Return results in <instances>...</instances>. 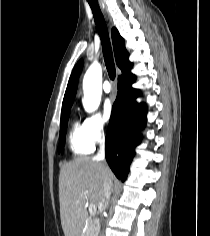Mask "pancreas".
Returning a JSON list of instances; mask_svg holds the SVG:
<instances>
[{
    "label": "pancreas",
    "instance_id": "obj_1",
    "mask_svg": "<svg viewBox=\"0 0 210 236\" xmlns=\"http://www.w3.org/2000/svg\"><path fill=\"white\" fill-rule=\"evenodd\" d=\"M98 233V221L96 218H90L84 229L83 236H97Z\"/></svg>",
    "mask_w": 210,
    "mask_h": 236
}]
</instances>
